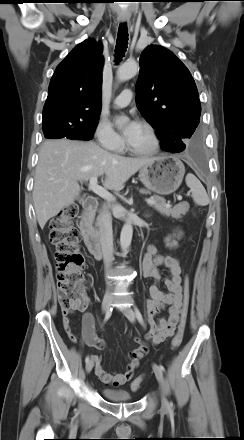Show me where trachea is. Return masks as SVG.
Segmentation results:
<instances>
[{
	"label": "trachea",
	"instance_id": "obj_1",
	"mask_svg": "<svg viewBox=\"0 0 244 440\" xmlns=\"http://www.w3.org/2000/svg\"><path fill=\"white\" fill-rule=\"evenodd\" d=\"M128 46V29L125 23H121L119 26L117 41H116V54L115 57L119 61L124 56Z\"/></svg>",
	"mask_w": 244,
	"mask_h": 440
}]
</instances>
